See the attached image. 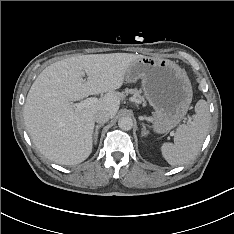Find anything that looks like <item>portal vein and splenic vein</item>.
<instances>
[{"instance_id": "portal-vein-and-splenic-vein-1", "label": "portal vein and splenic vein", "mask_w": 234, "mask_h": 234, "mask_svg": "<svg viewBox=\"0 0 234 234\" xmlns=\"http://www.w3.org/2000/svg\"><path fill=\"white\" fill-rule=\"evenodd\" d=\"M98 102V99L95 97H90L85 99L84 101H81L80 103H76L73 105L76 111H81L83 108L95 104Z\"/></svg>"}]
</instances>
